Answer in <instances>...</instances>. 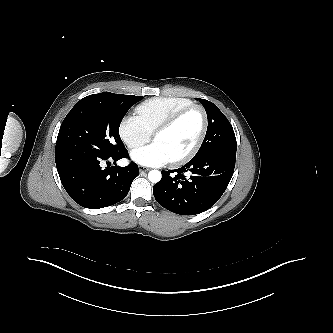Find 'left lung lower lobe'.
I'll return each mask as SVG.
<instances>
[{
  "label": "left lung lower lobe",
  "mask_w": 333,
  "mask_h": 333,
  "mask_svg": "<svg viewBox=\"0 0 333 333\" xmlns=\"http://www.w3.org/2000/svg\"><path fill=\"white\" fill-rule=\"evenodd\" d=\"M236 151H213L176 170L162 171L153 187L156 201L180 215H195L212 207L225 192L234 172ZM185 172H190L186 178Z\"/></svg>",
  "instance_id": "obj_1"
}]
</instances>
